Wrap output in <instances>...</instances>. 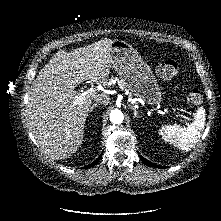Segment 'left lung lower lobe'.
<instances>
[{
	"label": "left lung lower lobe",
	"mask_w": 221,
	"mask_h": 221,
	"mask_svg": "<svg viewBox=\"0 0 221 221\" xmlns=\"http://www.w3.org/2000/svg\"><path fill=\"white\" fill-rule=\"evenodd\" d=\"M140 159H141V161H142L144 164H146V165H148V166L156 167V168H163V166H159V165L153 164V163L149 162L148 160H146L145 158H143L142 156H140ZM164 168H166V167H164Z\"/></svg>",
	"instance_id": "0a47b994"
}]
</instances>
